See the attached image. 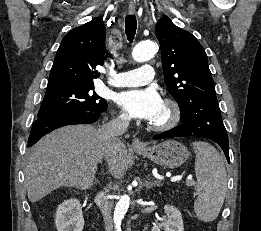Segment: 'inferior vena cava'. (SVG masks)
<instances>
[{
    "label": "inferior vena cava",
    "instance_id": "1",
    "mask_svg": "<svg viewBox=\"0 0 261 231\" xmlns=\"http://www.w3.org/2000/svg\"><path fill=\"white\" fill-rule=\"evenodd\" d=\"M129 117H118L105 125L100 129L102 138L105 145V158L107 161L115 154L116 150L121 145L120 135H123L129 126ZM109 190L100 193V209L103 215L105 223V231H113V220H112V206L109 200L106 198V193Z\"/></svg>",
    "mask_w": 261,
    "mask_h": 231
}]
</instances>
